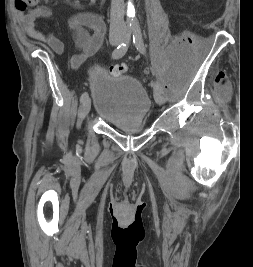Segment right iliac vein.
Wrapping results in <instances>:
<instances>
[{
    "label": "right iliac vein",
    "instance_id": "obj_1",
    "mask_svg": "<svg viewBox=\"0 0 253 267\" xmlns=\"http://www.w3.org/2000/svg\"><path fill=\"white\" fill-rule=\"evenodd\" d=\"M123 41V37L122 36H115L113 38L110 39V44L112 46H117L119 45L121 42ZM91 108V100L89 97H87L84 102H82V106H81V111H80V115L82 118L86 117L90 111Z\"/></svg>",
    "mask_w": 253,
    "mask_h": 267
}]
</instances>
